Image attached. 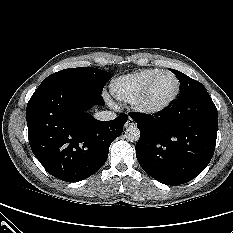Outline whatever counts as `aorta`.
Masks as SVG:
<instances>
[{
	"mask_svg": "<svg viewBox=\"0 0 233 233\" xmlns=\"http://www.w3.org/2000/svg\"><path fill=\"white\" fill-rule=\"evenodd\" d=\"M125 138L129 142H136L140 138V131L136 126L130 125L126 130H125Z\"/></svg>",
	"mask_w": 233,
	"mask_h": 233,
	"instance_id": "obj_1",
	"label": "aorta"
}]
</instances>
